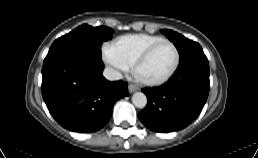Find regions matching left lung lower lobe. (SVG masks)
Returning a JSON list of instances; mask_svg holds the SVG:
<instances>
[{"instance_id": "0a47b994", "label": "left lung lower lobe", "mask_w": 258, "mask_h": 158, "mask_svg": "<svg viewBox=\"0 0 258 158\" xmlns=\"http://www.w3.org/2000/svg\"><path fill=\"white\" fill-rule=\"evenodd\" d=\"M209 74L201 46L193 47L166 84L143 90L148 103L138 114L140 121L157 132H172L190 124L206 103Z\"/></svg>"}]
</instances>
